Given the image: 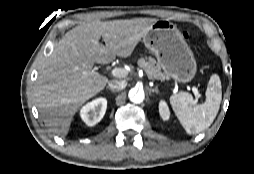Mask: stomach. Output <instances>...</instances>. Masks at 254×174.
<instances>
[{
    "instance_id": "0dacf381",
    "label": "stomach",
    "mask_w": 254,
    "mask_h": 174,
    "mask_svg": "<svg viewBox=\"0 0 254 174\" xmlns=\"http://www.w3.org/2000/svg\"><path fill=\"white\" fill-rule=\"evenodd\" d=\"M143 43L156 56L158 65L169 78L188 83L196 75L194 54L175 24L157 20L143 36Z\"/></svg>"
}]
</instances>
